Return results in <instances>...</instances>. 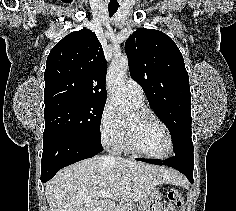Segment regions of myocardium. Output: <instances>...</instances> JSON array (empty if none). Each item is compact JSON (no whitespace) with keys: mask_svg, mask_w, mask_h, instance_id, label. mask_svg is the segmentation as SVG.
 Masks as SVG:
<instances>
[{"mask_svg":"<svg viewBox=\"0 0 236 211\" xmlns=\"http://www.w3.org/2000/svg\"><path fill=\"white\" fill-rule=\"evenodd\" d=\"M135 113L142 120L154 121V122L158 123L159 125H161L167 134L169 145H168L167 151L162 155H153V154H149V153H146V152L140 150L135 143L132 127L130 126V124L127 121H124V123H123L124 124V142H125V145L127 146V148L131 152H133L139 156L146 157V158L164 159V158L168 157L172 153L173 148H174L173 136H172V133H171L169 127L161 119H159L157 116H155L154 114H152L148 110L137 109V110H135Z\"/></svg>","mask_w":236,"mask_h":211,"instance_id":"myocardium-1","label":"myocardium"}]
</instances>
